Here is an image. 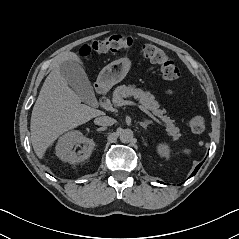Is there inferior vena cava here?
Listing matches in <instances>:
<instances>
[{"label":"inferior vena cava","instance_id":"inferior-vena-cava-1","mask_svg":"<svg viewBox=\"0 0 239 239\" xmlns=\"http://www.w3.org/2000/svg\"><path fill=\"white\" fill-rule=\"evenodd\" d=\"M95 123L100 126H111L115 123V120L109 116H100L95 118Z\"/></svg>","mask_w":239,"mask_h":239}]
</instances>
